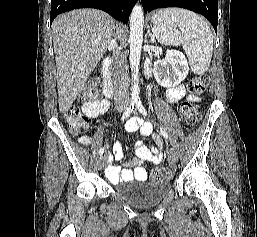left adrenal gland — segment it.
Listing matches in <instances>:
<instances>
[{"mask_svg":"<svg viewBox=\"0 0 257 237\" xmlns=\"http://www.w3.org/2000/svg\"><path fill=\"white\" fill-rule=\"evenodd\" d=\"M149 37L151 38V40L149 41L150 43H154V37L152 36V34L150 33V30H148V36L147 38L149 39Z\"/></svg>","mask_w":257,"mask_h":237,"instance_id":"obj_1","label":"left adrenal gland"}]
</instances>
